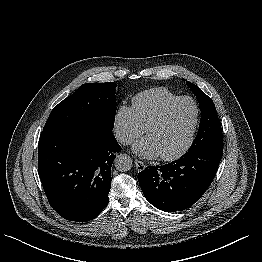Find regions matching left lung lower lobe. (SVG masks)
Here are the masks:
<instances>
[{
  "mask_svg": "<svg viewBox=\"0 0 262 262\" xmlns=\"http://www.w3.org/2000/svg\"><path fill=\"white\" fill-rule=\"evenodd\" d=\"M223 147L186 152L163 166H150L138 174L146 199L165 212L191 207L212 183L222 158Z\"/></svg>",
  "mask_w": 262,
  "mask_h": 262,
  "instance_id": "0a47b994",
  "label": "left lung lower lobe"
}]
</instances>
